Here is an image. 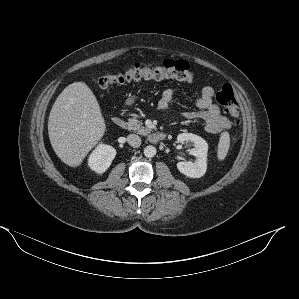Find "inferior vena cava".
<instances>
[{"instance_id": "1", "label": "inferior vena cava", "mask_w": 299, "mask_h": 299, "mask_svg": "<svg viewBox=\"0 0 299 299\" xmlns=\"http://www.w3.org/2000/svg\"><path fill=\"white\" fill-rule=\"evenodd\" d=\"M127 142L132 147H139L141 145V138L136 134H129L127 136Z\"/></svg>"}]
</instances>
